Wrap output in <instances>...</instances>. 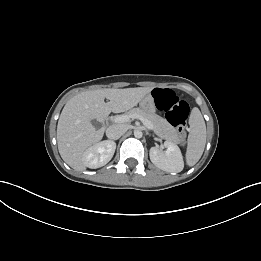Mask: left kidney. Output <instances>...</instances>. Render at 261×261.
<instances>
[{"instance_id":"obj_1","label":"left kidney","mask_w":261,"mask_h":261,"mask_svg":"<svg viewBox=\"0 0 261 261\" xmlns=\"http://www.w3.org/2000/svg\"><path fill=\"white\" fill-rule=\"evenodd\" d=\"M164 145L167 148L165 152L160 151L157 147L150 149L151 162L166 172H181L184 168V161L180 148L169 141H166Z\"/></svg>"}]
</instances>
